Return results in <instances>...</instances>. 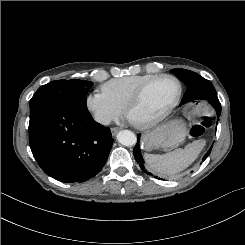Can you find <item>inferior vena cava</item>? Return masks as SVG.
<instances>
[{"label":"inferior vena cava","instance_id":"1","mask_svg":"<svg viewBox=\"0 0 245 245\" xmlns=\"http://www.w3.org/2000/svg\"><path fill=\"white\" fill-rule=\"evenodd\" d=\"M98 122L103 125H109L111 122V119L109 117H104V118L98 119Z\"/></svg>","mask_w":245,"mask_h":245}]
</instances>
